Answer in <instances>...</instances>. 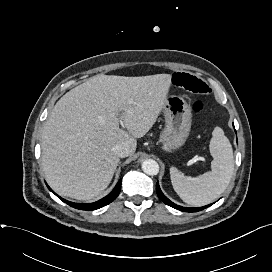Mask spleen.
Masks as SVG:
<instances>
[{"label":"spleen","instance_id":"3e777b00","mask_svg":"<svg viewBox=\"0 0 272 272\" xmlns=\"http://www.w3.org/2000/svg\"><path fill=\"white\" fill-rule=\"evenodd\" d=\"M212 135L209 146L213 157L211 171L197 177H188L176 167L170 168L174 190L184 202L192 206L213 202L226 190L233 176V150L228 138L218 126Z\"/></svg>","mask_w":272,"mask_h":272}]
</instances>
